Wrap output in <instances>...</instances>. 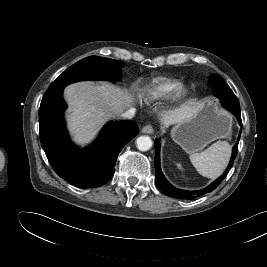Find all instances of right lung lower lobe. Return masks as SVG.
Returning a JSON list of instances; mask_svg holds the SVG:
<instances>
[{"label": "right lung lower lobe", "instance_id": "obj_1", "mask_svg": "<svg viewBox=\"0 0 267 267\" xmlns=\"http://www.w3.org/2000/svg\"><path fill=\"white\" fill-rule=\"evenodd\" d=\"M64 89V88H63ZM63 89L43 97L39 109L40 141L55 172L78 187H99L114 174L117 156L139 128L134 121L109 122L87 149L77 148L69 139L63 111Z\"/></svg>", "mask_w": 267, "mask_h": 267}]
</instances>
